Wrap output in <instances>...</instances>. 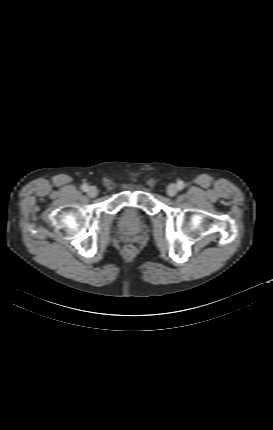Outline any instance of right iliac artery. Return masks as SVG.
<instances>
[{
    "label": "right iliac artery",
    "mask_w": 273,
    "mask_h": 430,
    "mask_svg": "<svg viewBox=\"0 0 273 430\" xmlns=\"http://www.w3.org/2000/svg\"><path fill=\"white\" fill-rule=\"evenodd\" d=\"M81 189H82L84 192H87V191H88V189H89V187H88V185H87V184H83V185L81 186Z\"/></svg>",
    "instance_id": "right-iliac-artery-1"
}]
</instances>
